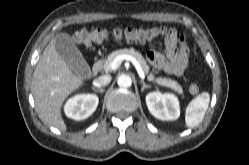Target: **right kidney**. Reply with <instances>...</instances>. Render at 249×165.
Masks as SVG:
<instances>
[{
    "label": "right kidney",
    "instance_id": "obj_1",
    "mask_svg": "<svg viewBox=\"0 0 249 165\" xmlns=\"http://www.w3.org/2000/svg\"><path fill=\"white\" fill-rule=\"evenodd\" d=\"M98 103L99 99L94 94L76 95L66 102L64 112L71 119L84 120L96 110Z\"/></svg>",
    "mask_w": 249,
    "mask_h": 165
}]
</instances>
